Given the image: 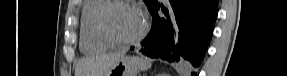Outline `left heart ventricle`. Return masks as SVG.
<instances>
[{
    "mask_svg": "<svg viewBox=\"0 0 287 76\" xmlns=\"http://www.w3.org/2000/svg\"><path fill=\"white\" fill-rule=\"evenodd\" d=\"M109 26L121 38L136 36L143 27V16L134 7L117 6L109 17Z\"/></svg>",
    "mask_w": 287,
    "mask_h": 76,
    "instance_id": "obj_1",
    "label": "left heart ventricle"
}]
</instances>
